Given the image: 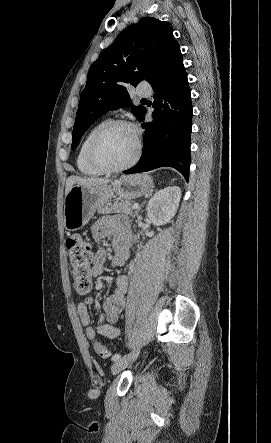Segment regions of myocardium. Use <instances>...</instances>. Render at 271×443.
<instances>
[{"instance_id":"1","label":"myocardium","mask_w":271,"mask_h":443,"mask_svg":"<svg viewBox=\"0 0 271 443\" xmlns=\"http://www.w3.org/2000/svg\"><path fill=\"white\" fill-rule=\"evenodd\" d=\"M123 126L128 128L134 135L135 138V150L133 155L130 157V159L125 162L124 164L116 167L109 166L105 164L103 161L100 160L97 154V148L103 137L106 135V133L111 130L114 127ZM142 154V140L140 136V132L137 129V127L123 119H113L107 121L94 135L92 140L89 143L88 149H87V157L89 162L98 170H100L102 173H119L124 170L129 169L131 166H133L138 159L140 158Z\"/></svg>"}]
</instances>
